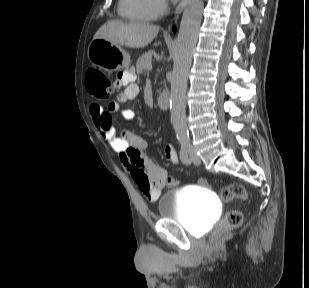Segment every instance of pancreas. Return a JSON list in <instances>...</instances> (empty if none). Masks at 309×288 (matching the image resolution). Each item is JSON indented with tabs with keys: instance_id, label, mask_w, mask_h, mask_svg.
Wrapping results in <instances>:
<instances>
[{
	"instance_id": "pancreas-1",
	"label": "pancreas",
	"mask_w": 309,
	"mask_h": 288,
	"mask_svg": "<svg viewBox=\"0 0 309 288\" xmlns=\"http://www.w3.org/2000/svg\"><path fill=\"white\" fill-rule=\"evenodd\" d=\"M153 50L146 52L142 56L139 57L136 63L137 73L141 74L144 70L147 69L148 65L152 62V54Z\"/></svg>"
}]
</instances>
